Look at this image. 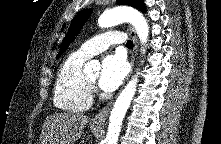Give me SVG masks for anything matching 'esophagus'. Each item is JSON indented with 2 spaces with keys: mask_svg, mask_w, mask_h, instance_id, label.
<instances>
[{
  "mask_svg": "<svg viewBox=\"0 0 221 144\" xmlns=\"http://www.w3.org/2000/svg\"><path fill=\"white\" fill-rule=\"evenodd\" d=\"M128 30H129V34L133 40V43H134V47H133L132 54H131V66H132L131 72H132L135 57L137 54V36H136L135 30L133 29V27L129 26ZM131 72H130V74H131ZM129 76H128V78H129ZM112 104H113V101H110L97 115H95V117L92 119V123L96 124V125H103L105 120L108 117V114L110 112Z\"/></svg>",
  "mask_w": 221,
  "mask_h": 144,
  "instance_id": "34e87169",
  "label": "esophagus"
}]
</instances>
